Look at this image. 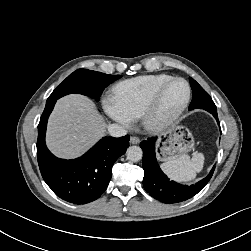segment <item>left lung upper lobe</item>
Instances as JSON below:
<instances>
[{"label":"left lung upper lobe","mask_w":251,"mask_h":251,"mask_svg":"<svg viewBox=\"0 0 251 251\" xmlns=\"http://www.w3.org/2000/svg\"><path fill=\"white\" fill-rule=\"evenodd\" d=\"M189 80L193 92V98L189 110L200 108L202 106L203 109L209 112H216V106L210 95L193 78H189Z\"/></svg>","instance_id":"1"}]
</instances>
